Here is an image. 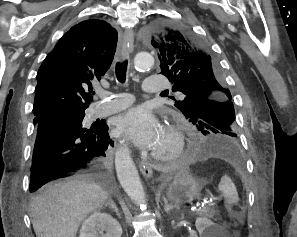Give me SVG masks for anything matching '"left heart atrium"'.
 I'll list each match as a JSON object with an SVG mask.
<instances>
[{
	"label": "left heart atrium",
	"mask_w": 297,
	"mask_h": 237,
	"mask_svg": "<svg viewBox=\"0 0 297 237\" xmlns=\"http://www.w3.org/2000/svg\"><path fill=\"white\" fill-rule=\"evenodd\" d=\"M116 130L126 135L136 146L154 150L164 128L157 116L145 107H135L116 119Z\"/></svg>",
	"instance_id": "39dd6f15"
}]
</instances>
